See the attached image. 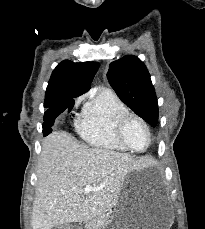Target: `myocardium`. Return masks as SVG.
Wrapping results in <instances>:
<instances>
[{"instance_id": "myocardium-1", "label": "myocardium", "mask_w": 205, "mask_h": 229, "mask_svg": "<svg viewBox=\"0 0 205 229\" xmlns=\"http://www.w3.org/2000/svg\"><path fill=\"white\" fill-rule=\"evenodd\" d=\"M131 121H137L139 122L146 130L147 132V136H148V141L146 146L143 149H135L133 148L127 141L126 137H125V130L127 125L131 122ZM116 133H117V137L119 139V141L130 151L135 152V153H142L145 152L151 145L152 143V132L150 129V126L148 125V123L146 122V120H144L142 117H140L137 114L131 113V112H127L125 114H123L117 123V128H116Z\"/></svg>"}]
</instances>
